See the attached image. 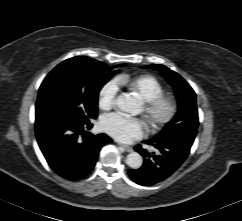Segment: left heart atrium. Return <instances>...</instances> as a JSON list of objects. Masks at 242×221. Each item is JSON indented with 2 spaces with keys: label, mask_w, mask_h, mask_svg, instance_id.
<instances>
[{
  "label": "left heart atrium",
  "mask_w": 242,
  "mask_h": 221,
  "mask_svg": "<svg viewBox=\"0 0 242 221\" xmlns=\"http://www.w3.org/2000/svg\"><path fill=\"white\" fill-rule=\"evenodd\" d=\"M101 127L104 132L121 142H131L141 138L145 133V124L141 120L121 113H112L103 117Z\"/></svg>",
  "instance_id": "left-heart-atrium-1"
}]
</instances>
